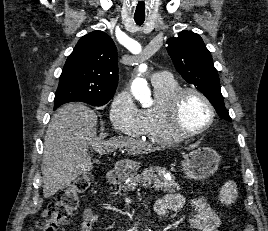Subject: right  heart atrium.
I'll return each instance as SVG.
<instances>
[{
	"instance_id": "right-heart-atrium-1",
	"label": "right heart atrium",
	"mask_w": 268,
	"mask_h": 231,
	"mask_svg": "<svg viewBox=\"0 0 268 231\" xmlns=\"http://www.w3.org/2000/svg\"><path fill=\"white\" fill-rule=\"evenodd\" d=\"M109 116L114 129L119 133L134 138L143 136L141 110L128 90H121L114 96L110 103Z\"/></svg>"
}]
</instances>
